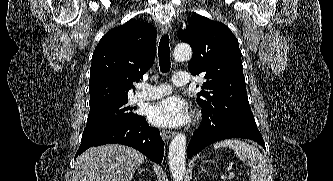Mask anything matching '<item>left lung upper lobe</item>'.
Listing matches in <instances>:
<instances>
[{"label":"left lung upper lobe","instance_id":"obj_1","mask_svg":"<svg viewBox=\"0 0 333 181\" xmlns=\"http://www.w3.org/2000/svg\"><path fill=\"white\" fill-rule=\"evenodd\" d=\"M178 38L190 44L193 56L188 69L193 75L205 74L206 82L197 94L203 111L229 113L256 125L245 87L238 40L223 23L196 15L189 19Z\"/></svg>","mask_w":333,"mask_h":181}]
</instances>
